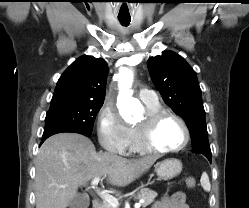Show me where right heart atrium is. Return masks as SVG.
I'll list each match as a JSON object with an SVG mask.
<instances>
[{"instance_id":"right-heart-atrium-1","label":"right heart atrium","mask_w":249,"mask_h":208,"mask_svg":"<svg viewBox=\"0 0 249 208\" xmlns=\"http://www.w3.org/2000/svg\"><path fill=\"white\" fill-rule=\"evenodd\" d=\"M97 136L107 151L125 155L128 152L129 128L115 107L105 103L97 117Z\"/></svg>"}]
</instances>
